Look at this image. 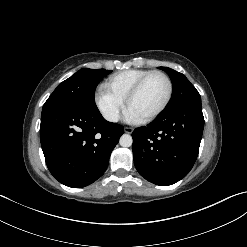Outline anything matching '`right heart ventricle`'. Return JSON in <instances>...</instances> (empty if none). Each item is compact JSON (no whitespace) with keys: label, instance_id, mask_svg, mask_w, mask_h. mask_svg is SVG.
Listing matches in <instances>:
<instances>
[{"label":"right heart ventricle","instance_id":"right-heart-ventricle-1","mask_svg":"<svg viewBox=\"0 0 247 247\" xmlns=\"http://www.w3.org/2000/svg\"><path fill=\"white\" fill-rule=\"evenodd\" d=\"M149 72L150 70L145 69H130L122 71L110 76L104 85L112 94L122 101H125L133 86Z\"/></svg>","mask_w":247,"mask_h":247}]
</instances>
